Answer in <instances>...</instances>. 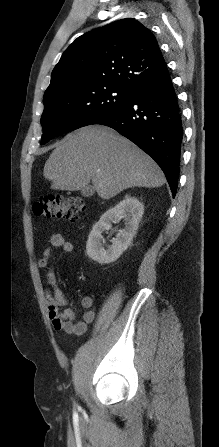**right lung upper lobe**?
Returning a JSON list of instances; mask_svg holds the SVG:
<instances>
[{"instance_id":"1","label":"right lung upper lobe","mask_w":219,"mask_h":447,"mask_svg":"<svg viewBox=\"0 0 219 447\" xmlns=\"http://www.w3.org/2000/svg\"><path fill=\"white\" fill-rule=\"evenodd\" d=\"M169 74L152 32L126 18L78 37L63 53L44 96L115 85L135 93Z\"/></svg>"}]
</instances>
